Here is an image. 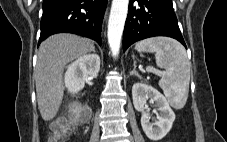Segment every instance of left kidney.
<instances>
[{"label": "left kidney", "mask_w": 227, "mask_h": 142, "mask_svg": "<svg viewBox=\"0 0 227 142\" xmlns=\"http://www.w3.org/2000/svg\"><path fill=\"white\" fill-rule=\"evenodd\" d=\"M133 104L142 113L141 125L146 136L157 141L166 136L172 128L175 114L167 99L155 88L144 83H135L132 87ZM150 99L158 107L157 121L150 122V114L145 111L146 101Z\"/></svg>", "instance_id": "obj_1"}]
</instances>
